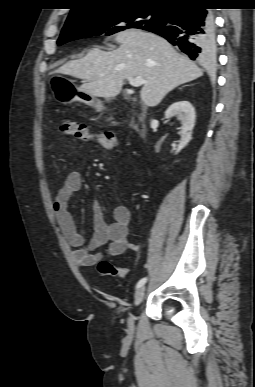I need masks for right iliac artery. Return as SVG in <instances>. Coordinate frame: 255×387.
<instances>
[{
	"instance_id": "obj_1",
	"label": "right iliac artery",
	"mask_w": 255,
	"mask_h": 387,
	"mask_svg": "<svg viewBox=\"0 0 255 387\" xmlns=\"http://www.w3.org/2000/svg\"><path fill=\"white\" fill-rule=\"evenodd\" d=\"M146 281H147L146 277H144L141 280H139V282L136 285V288L138 289V288L142 287L146 283Z\"/></svg>"
}]
</instances>
